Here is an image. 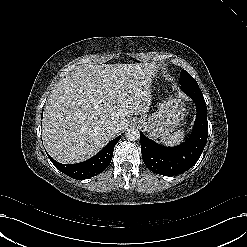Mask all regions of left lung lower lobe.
Listing matches in <instances>:
<instances>
[{"mask_svg": "<svg viewBox=\"0 0 247 247\" xmlns=\"http://www.w3.org/2000/svg\"><path fill=\"white\" fill-rule=\"evenodd\" d=\"M181 89L196 104L197 116L190 137L179 146L164 147L140 132L144 164L152 172L164 176H174L189 170L200 158L208 137L207 107L198 84L182 86Z\"/></svg>", "mask_w": 247, "mask_h": 247, "instance_id": "left-lung-lower-lobe-1", "label": "left lung lower lobe"}]
</instances>
